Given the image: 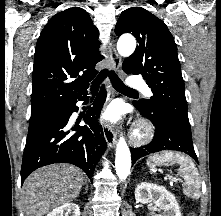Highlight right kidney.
Returning a JSON list of instances; mask_svg holds the SVG:
<instances>
[{
	"instance_id": "right-kidney-1",
	"label": "right kidney",
	"mask_w": 221,
	"mask_h": 216,
	"mask_svg": "<svg viewBox=\"0 0 221 216\" xmlns=\"http://www.w3.org/2000/svg\"><path fill=\"white\" fill-rule=\"evenodd\" d=\"M47 216H80V209L74 203H67L53 209Z\"/></svg>"
}]
</instances>
